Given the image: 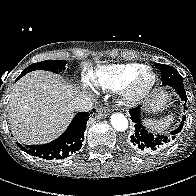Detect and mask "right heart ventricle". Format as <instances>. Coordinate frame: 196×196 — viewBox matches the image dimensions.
<instances>
[{"label":"right heart ventricle","mask_w":196,"mask_h":196,"mask_svg":"<svg viewBox=\"0 0 196 196\" xmlns=\"http://www.w3.org/2000/svg\"><path fill=\"white\" fill-rule=\"evenodd\" d=\"M145 65L139 63L98 66L88 72L89 82L100 89L120 90Z\"/></svg>","instance_id":"right-heart-ventricle-1"}]
</instances>
